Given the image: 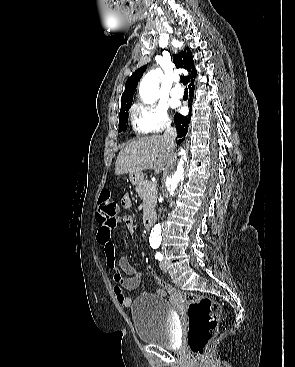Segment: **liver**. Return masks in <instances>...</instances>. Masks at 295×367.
<instances>
[{"label": "liver", "mask_w": 295, "mask_h": 367, "mask_svg": "<svg viewBox=\"0 0 295 367\" xmlns=\"http://www.w3.org/2000/svg\"><path fill=\"white\" fill-rule=\"evenodd\" d=\"M172 152L173 149L168 147L164 137L160 135L134 140L119 152L115 163V174L120 176L146 169L161 173Z\"/></svg>", "instance_id": "obj_1"}]
</instances>
